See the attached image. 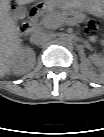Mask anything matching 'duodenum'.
Returning <instances> with one entry per match:
<instances>
[{"label": "duodenum", "mask_w": 104, "mask_h": 137, "mask_svg": "<svg viewBox=\"0 0 104 137\" xmlns=\"http://www.w3.org/2000/svg\"><path fill=\"white\" fill-rule=\"evenodd\" d=\"M49 10V6L45 4H40L34 7L27 18V20L23 23V31L26 35H29L34 30V25L38 17Z\"/></svg>", "instance_id": "duodenum-1"}]
</instances>
